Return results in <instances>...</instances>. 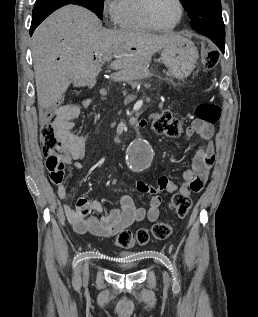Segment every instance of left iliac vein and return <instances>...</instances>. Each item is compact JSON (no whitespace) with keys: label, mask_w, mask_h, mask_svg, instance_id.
<instances>
[{"label":"left iliac vein","mask_w":258,"mask_h":317,"mask_svg":"<svg viewBox=\"0 0 258 317\" xmlns=\"http://www.w3.org/2000/svg\"><path fill=\"white\" fill-rule=\"evenodd\" d=\"M164 277H165V278H168V277H169V274L165 272V273H164Z\"/></svg>","instance_id":"1"}]
</instances>
